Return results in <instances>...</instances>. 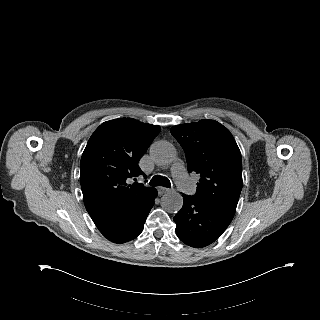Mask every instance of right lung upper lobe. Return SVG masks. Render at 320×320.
Listing matches in <instances>:
<instances>
[{"label": "right lung upper lobe", "mask_w": 320, "mask_h": 320, "mask_svg": "<svg viewBox=\"0 0 320 320\" xmlns=\"http://www.w3.org/2000/svg\"><path fill=\"white\" fill-rule=\"evenodd\" d=\"M160 130L120 118L101 124L92 134L81 157L80 179L84 204L94 222L135 207L155 189L129 183L145 175L138 162Z\"/></svg>", "instance_id": "obj_1"}]
</instances>
